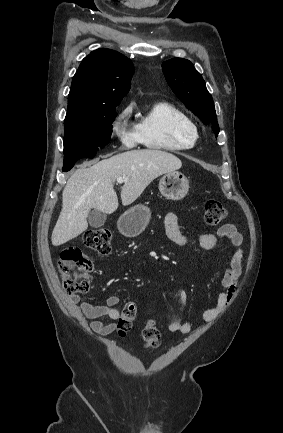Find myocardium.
<instances>
[{
	"label": "myocardium",
	"instance_id": "obj_1",
	"mask_svg": "<svg viewBox=\"0 0 283 433\" xmlns=\"http://www.w3.org/2000/svg\"><path fill=\"white\" fill-rule=\"evenodd\" d=\"M178 138L185 145L193 146L200 138V130L194 123L183 124L179 128Z\"/></svg>",
	"mask_w": 283,
	"mask_h": 433
}]
</instances>
